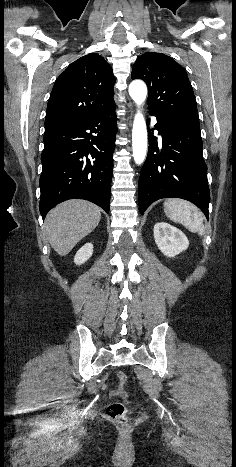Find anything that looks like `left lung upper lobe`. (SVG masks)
Instances as JSON below:
<instances>
[{
	"label": "left lung upper lobe",
	"mask_w": 236,
	"mask_h": 467,
	"mask_svg": "<svg viewBox=\"0 0 236 467\" xmlns=\"http://www.w3.org/2000/svg\"><path fill=\"white\" fill-rule=\"evenodd\" d=\"M132 79H142L149 89L148 105L159 116L198 117L197 104L186 71L171 57L145 53L135 62Z\"/></svg>",
	"instance_id": "left-lung-upper-lobe-1"
}]
</instances>
